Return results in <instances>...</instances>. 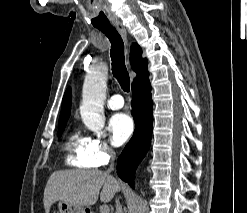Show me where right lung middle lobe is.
<instances>
[{"label": "right lung middle lobe", "instance_id": "dd1d6c3e", "mask_svg": "<svg viewBox=\"0 0 247 213\" xmlns=\"http://www.w3.org/2000/svg\"><path fill=\"white\" fill-rule=\"evenodd\" d=\"M65 126H66V123H63V124H61V125H58V137L61 136V134H62V132H63Z\"/></svg>", "mask_w": 247, "mask_h": 213}]
</instances>
